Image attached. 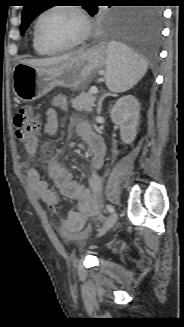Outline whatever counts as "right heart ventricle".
Instances as JSON below:
<instances>
[{
  "mask_svg": "<svg viewBox=\"0 0 184 327\" xmlns=\"http://www.w3.org/2000/svg\"><path fill=\"white\" fill-rule=\"evenodd\" d=\"M32 46H33L34 51L39 55H50V54L53 53V52L47 51L46 49L42 48L37 43V41H36V39L34 37V34H33V37H32Z\"/></svg>",
  "mask_w": 184,
  "mask_h": 327,
  "instance_id": "e07e8e85",
  "label": "right heart ventricle"
}]
</instances>
